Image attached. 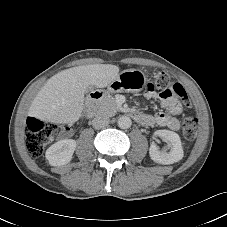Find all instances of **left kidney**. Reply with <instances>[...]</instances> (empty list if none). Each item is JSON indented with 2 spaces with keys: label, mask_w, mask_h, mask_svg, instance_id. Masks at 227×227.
Wrapping results in <instances>:
<instances>
[{
  "label": "left kidney",
  "mask_w": 227,
  "mask_h": 227,
  "mask_svg": "<svg viewBox=\"0 0 227 227\" xmlns=\"http://www.w3.org/2000/svg\"><path fill=\"white\" fill-rule=\"evenodd\" d=\"M154 136L162 137L167 140V149H170L169 152L166 151L167 149L160 150L156 143L152 142L149 148V155L154 162L168 165L178 162L183 158L184 152L180 137L177 133L164 129L155 131Z\"/></svg>",
  "instance_id": "1"
}]
</instances>
